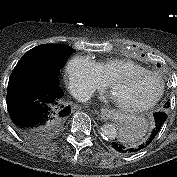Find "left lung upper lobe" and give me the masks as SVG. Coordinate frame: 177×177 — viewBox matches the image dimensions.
I'll list each match as a JSON object with an SVG mask.
<instances>
[{
  "mask_svg": "<svg viewBox=\"0 0 177 177\" xmlns=\"http://www.w3.org/2000/svg\"><path fill=\"white\" fill-rule=\"evenodd\" d=\"M169 107V103L167 102V106H166V108H168ZM165 112H166V109L164 110Z\"/></svg>",
  "mask_w": 177,
  "mask_h": 177,
  "instance_id": "left-lung-upper-lobe-1",
  "label": "left lung upper lobe"
}]
</instances>
